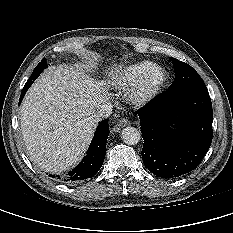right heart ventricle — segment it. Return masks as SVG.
Returning <instances> with one entry per match:
<instances>
[{
	"instance_id": "e07e8e85",
	"label": "right heart ventricle",
	"mask_w": 233,
	"mask_h": 233,
	"mask_svg": "<svg viewBox=\"0 0 233 233\" xmlns=\"http://www.w3.org/2000/svg\"><path fill=\"white\" fill-rule=\"evenodd\" d=\"M154 66L155 64L151 61H139L124 65L112 73L110 83L115 89L127 90Z\"/></svg>"
}]
</instances>
